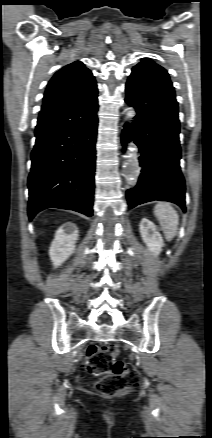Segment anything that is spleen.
<instances>
[{"label": "spleen", "mask_w": 212, "mask_h": 438, "mask_svg": "<svg viewBox=\"0 0 212 438\" xmlns=\"http://www.w3.org/2000/svg\"><path fill=\"white\" fill-rule=\"evenodd\" d=\"M154 215L159 220L167 241H172L178 230L179 216L168 202H159L154 207Z\"/></svg>", "instance_id": "3e777b00"}]
</instances>
